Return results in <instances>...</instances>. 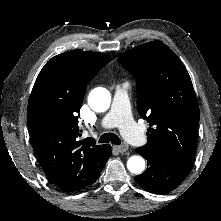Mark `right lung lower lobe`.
Wrapping results in <instances>:
<instances>
[{"label":"right lung lower lobe","instance_id":"obj_1","mask_svg":"<svg viewBox=\"0 0 221 221\" xmlns=\"http://www.w3.org/2000/svg\"><path fill=\"white\" fill-rule=\"evenodd\" d=\"M111 152H112V148L110 147L109 152H108V159H109L110 156H111ZM108 159H107V160H108Z\"/></svg>","mask_w":221,"mask_h":221}]
</instances>
